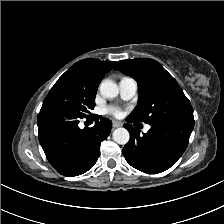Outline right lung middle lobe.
I'll return each instance as SVG.
<instances>
[{
  "mask_svg": "<svg viewBox=\"0 0 224 224\" xmlns=\"http://www.w3.org/2000/svg\"><path fill=\"white\" fill-rule=\"evenodd\" d=\"M98 84L87 77L67 70L54 84L42 107H54L79 117H88L95 106Z\"/></svg>",
  "mask_w": 224,
  "mask_h": 224,
  "instance_id": "1",
  "label": "right lung middle lobe"
}]
</instances>
